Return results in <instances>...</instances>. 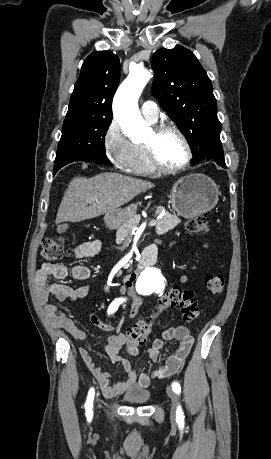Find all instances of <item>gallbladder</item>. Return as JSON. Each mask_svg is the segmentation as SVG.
Wrapping results in <instances>:
<instances>
[{
	"mask_svg": "<svg viewBox=\"0 0 271 459\" xmlns=\"http://www.w3.org/2000/svg\"><path fill=\"white\" fill-rule=\"evenodd\" d=\"M68 228V224H60V226H57V231H59V233H63V231H66Z\"/></svg>",
	"mask_w": 271,
	"mask_h": 459,
	"instance_id": "gallbladder-1",
	"label": "gallbladder"
}]
</instances>
